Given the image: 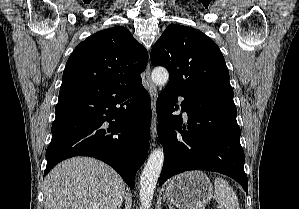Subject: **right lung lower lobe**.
<instances>
[{
    "instance_id": "right-lung-lower-lobe-1",
    "label": "right lung lower lobe",
    "mask_w": 299,
    "mask_h": 209,
    "mask_svg": "<svg viewBox=\"0 0 299 209\" xmlns=\"http://www.w3.org/2000/svg\"><path fill=\"white\" fill-rule=\"evenodd\" d=\"M55 113L44 176L67 158L90 156L134 188L150 137L151 99L142 83L60 90Z\"/></svg>"
}]
</instances>
